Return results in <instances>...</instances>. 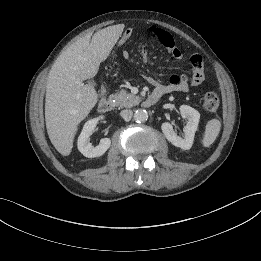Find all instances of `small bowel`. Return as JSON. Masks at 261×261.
<instances>
[{
	"label": "small bowel",
	"instance_id": "small-bowel-1",
	"mask_svg": "<svg viewBox=\"0 0 261 261\" xmlns=\"http://www.w3.org/2000/svg\"><path fill=\"white\" fill-rule=\"evenodd\" d=\"M147 34L149 38L159 41L164 45L167 51L175 58H182V53L175 45L173 37L163 29L155 26H149L147 28ZM144 58L147 57V52L144 49ZM191 62L193 65L192 75L187 78L184 75L174 74L169 78L168 83L162 84L153 78H149V82L155 86V91L160 92L162 95L171 92H187L191 87L198 85L203 80V66L202 59L199 55L194 54L191 56Z\"/></svg>",
	"mask_w": 261,
	"mask_h": 261
}]
</instances>
